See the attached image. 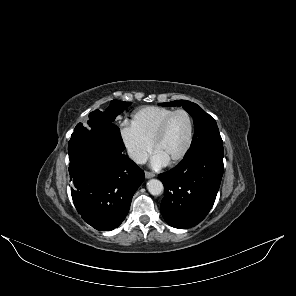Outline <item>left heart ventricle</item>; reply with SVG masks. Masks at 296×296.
I'll list each match as a JSON object with an SVG mask.
<instances>
[{"mask_svg": "<svg viewBox=\"0 0 296 296\" xmlns=\"http://www.w3.org/2000/svg\"><path fill=\"white\" fill-rule=\"evenodd\" d=\"M190 124L187 116L177 114L170 121L162 140L156 146L155 152L166 163L177 157L186 146L189 137Z\"/></svg>", "mask_w": 296, "mask_h": 296, "instance_id": "obj_1", "label": "left heart ventricle"}]
</instances>
